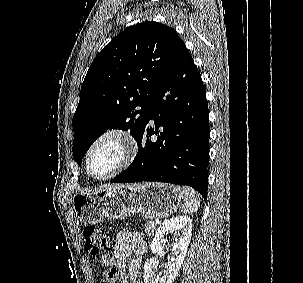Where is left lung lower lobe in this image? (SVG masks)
<instances>
[{"instance_id": "1", "label": "left lung lower lobe", "mask_w": 303, "mask_h": 283, "mask_svg": "<svg viewBox=\"0 0 303 283\" xmlns=\"http://www.w3.org/2000/svg\"><path fill=\"white\" fill-rule=\"evenodd\" d=\"M150 120L155 129L148 126ZM153 134L156 140L151 139ZM209 136L206 90L185 47L150 101L136 158L111 182L187 185L206 200Z\"/></svg>"}]
</instances>
